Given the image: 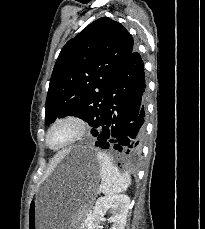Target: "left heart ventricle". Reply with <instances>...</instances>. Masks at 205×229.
Wrapping results in <instances>:
<instances>
[{"label": "left heart ventricle", "mask_w": 205, "mask_h": 229, "mask_svg": "<svg viewBox=\"0 0 205 229\" xmlns=\"http://www.w3.org/2000/svg\"><path fill=\"white\" fill-rule=\"evenodd\" d=\"M73 133V129L68 125L57 127L50 136V144L58 146L68 140Z\"/></svg>", "instance_id": "1"}]
</instances>
